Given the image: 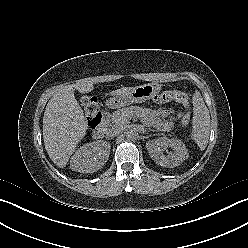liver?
I'll use <instances>...</instances> for the list:
<instances>
[{
    "label": "liver",
    "instance_id": "obj_1",
    "mask_svg": "<svg viewBox=\"0 0 248 248\" xmlns=\"http://www.w3.org/2000/svg\"><path fill=\"white\" fill-rule=\"evenodd\" d=\"M93 88L92 83L71 84L56 92L47 103L43 117L44 145L49 157L59 168L66 166L87 131V122L74 91L88 93ZM132 88L123 87L110 94L120 95Z\"/></svg>",
    "mask_w": 248,
    "mask_h": 248
}]
</instances>
